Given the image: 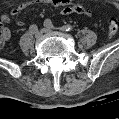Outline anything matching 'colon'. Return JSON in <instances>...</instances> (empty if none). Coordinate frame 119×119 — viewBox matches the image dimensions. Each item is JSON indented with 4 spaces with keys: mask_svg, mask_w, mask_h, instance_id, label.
<instances>
[{
    "mask_svg": "<svg viewBox=\"0 0 119 119\" xmlns=\"http://www.w3.org/2000/svg\"><path fill=\"white\" fill-rule=\"evenodd\" d=\"M117 32H118V23L116 20L112 19L108 24V34L110 37H113L117 34ZM3 37H4L3 29L0 26V42H2Z\"/></svg>",
    "mask_w": 119,
    "mask_h": 119,
    "instance_id": "obj_1",
    "label": "colon"
}]
</instances>
